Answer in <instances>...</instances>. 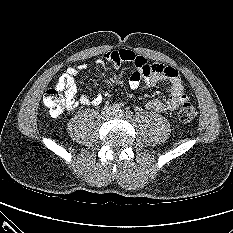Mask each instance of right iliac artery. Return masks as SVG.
Listing matches in <instances>:
<instances>
[{"label": "right iliac artery", "instance_id": "right-iliac-artery-1", "mask_svg": "<svg viewBox=\"0 0 233 233\" xmlns=\"http://www.w3.org/2000/svg\"><path fill=\"white\" fill-rule=\"evenodd\" d=\"M112 110H113L114 112H119V111H121L119 104H114V105L112 106Z\"/></svg>", "mask_w": 233, "mask_h": 233}]
</instances>
